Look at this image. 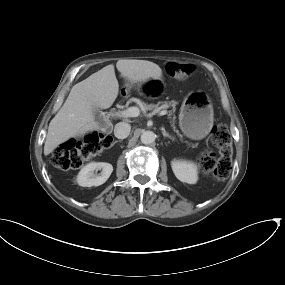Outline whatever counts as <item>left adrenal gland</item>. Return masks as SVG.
I'll list each match as a JSON object with an SVG mask.
<instances>
[{"label":"left adrenal gland","instance_id":"a2214340","mask_svg":"<svg viewBox=\"0 0 285 285\" xmlns=\"http://www.w3.org/2000/svg\"><path fill=\"white\" fill-rule=\"evenodd\" d=\"M162 134L164 137H167V138L171 139L172 141H174V138L171 135H169L165 130L162 131Z\"/></svg>","mask_w":285,"mask_h":285}]
</instances>
